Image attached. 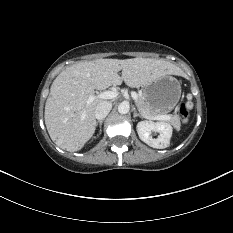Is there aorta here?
Masks as SVG:
<instances>
[{
	"label": "aorta",
	"mask_w": 233,
	"mask_h": 233,
	"mask_svg": "<svg viewBox=\"0 0 233 233\" xmlns=\"http://www.w3.org/2000/svg\"><path fill=\"white\" fill-rule=\"evenodd\" d=\"M130 110L128 102H122L118 105V112L120 114H127Z\"/></svg>",
	"instance_id": "obj_1"
}]
</instances>
